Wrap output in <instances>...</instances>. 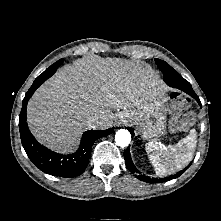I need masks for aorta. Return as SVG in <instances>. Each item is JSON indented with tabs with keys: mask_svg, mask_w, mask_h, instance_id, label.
Masks as SVG:
<instances>
[{
	"mask_svg": "<svg viewBox=\"0 0 221 221\" xmlns=\"http://www.w3.org/2000/svg\"><path fill=\"white\" fill-rule=\"evenodd\" d=\"M131 141V134L126 129H120L115 134V142L120 147H126Z\"/></svg>",
	"mask_w": 221,
	"mask_h": 221,
	"instance_id": "762f6f07",
	"label": "aorta"
}]
</instances>
